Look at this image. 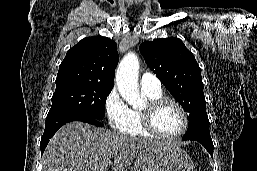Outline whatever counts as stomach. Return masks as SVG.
I'll list each match as a JSON object with an SVG mask.
<instances>
[{"instance_id": "0dacf381", "label": "stomach", "mask_w": 257, "mask_h": 171, "mask_svg": "<svg viewBox=\"0 0 257 171\" xmlns=\"http://www.w3.org/2000/svg\"><path fill=\"white\" fill-rule=\"evenodd\" d=\"M134 171H195L191 158L171 142L152 144L137 155Z\"/></svg>"}]
</instances>
